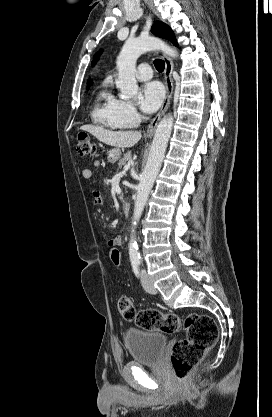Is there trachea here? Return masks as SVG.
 <instances>
[{
	"instance_id": "trachea-1",
	"label": "trachea",
	"mask_w": 272,
	"mask_h": 417,
	"mask_svg": "<svg viewBox=\"0 0 272 417\" xmlns=\"http://www.w3.org/2000/svg\"><path fill=\"white\" fill-rule=\"evenodd\" d=\"M154 66H155V68H156L157 71L162 72L164 70V68H165V63L161 59H156L154 61Z\"/></svg>"
}]
</instances>
